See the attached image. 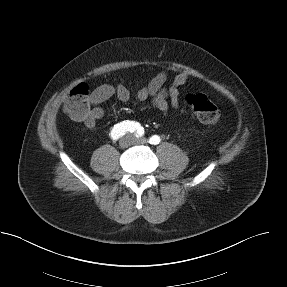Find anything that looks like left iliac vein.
<instances>
[{"label":"left iliac vein","mask_w":287,"mask_h":287,"mask_svg":"<svg viewBox=\"0 0 287 287\" xmlns=\"http://www.w3.org/2000/svg\"><path fill=\"white\" fill-rule=\"evenodd\" d=\"M147 140L145 138H136L132 137V143L133 144H145Z\"/></svg>","instance_id":"1"}]
</instances>
